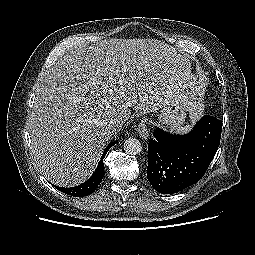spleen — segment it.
<instances>
[{
    "label": "spleen",
    "instance_id": "3e777b00",
    "mask_svg": "<svg viewBox=\"0 0 255 255\" xmlns=\"http://www.w3.org/2000/svg\"><path fill=\"white\" fill-rule=\"evenodd\" d=\"M187 128H182L181 130H186Z\"/></svg>",
    "mask_w": 255,
    "mask_h": 255
}]
</instances>
